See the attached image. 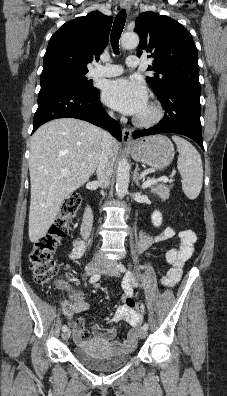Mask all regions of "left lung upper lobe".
Returning a JSON list of instances; mask_svg holds the SVG:
<instances>
[{
  "mask_svg": "<svg viewBox=\"0 0 227 396\" xmlns=\"http://www.w3.org/2000/svg\"><path fill=\"white\" fill-rule=\"evenodd\" d=\"M134 31L140 37L137 55L147 52L154 58L148 70L156 73L146 80L157 97L174 87H200L197 48L186 28L149 11L139 15Z\"/></svg>",
  "mask_w": 227,
  "mask_h": 396,
  "instance_id": "left-lung-upper-lobe-1",
  "label": "left lung upper lobe"
}]
</instances>
